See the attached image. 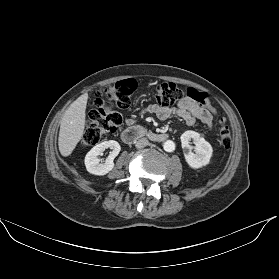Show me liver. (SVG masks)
Returning <instances> with one entry per match:
<instances>
[{"label": "liver", "instance_id": "6515ba94", "mask_svg": "<svg viewBox=\"0 0 279 279\" xmlns=\"http://www.w3.org/2000/svg\"><path fill=\"white\" fill-rule=\"evenodd\" d=\"M88 94L79 96L65 111L60 121L58 138L59 151L62 156H69L84 134L86 123V106Z\"/></svg>", "mask_w": 279, "mask_h": 279}]
</instances>
